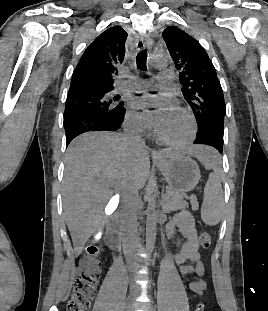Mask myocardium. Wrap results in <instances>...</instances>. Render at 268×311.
I'll list each match as a JSON object with an SVG mask.
<instances>
[{
    "label": "myocardium",
    "instance_id": "myocardium-1",
    "mask_svg": "<svg viewBox=\"0 0 268 311\" xmlns=\"http://www.w3.org/2000/svg\"><path fill=\"white\" fill-rule=\"evenodd\" d=\"M178 111L182 113L188 121L187 134L180 139H170L162 134L158 124H156V127H155V134L161 142L167 145H171L175 147H184L190 144L194 140L196 136L197 125H196L195 118L193 114L191 113V111H189L186 108H182V107L178 108Z\"/></svg>",
    "mask_w": 268,
    "mask_h": 311
}]
</instances>
